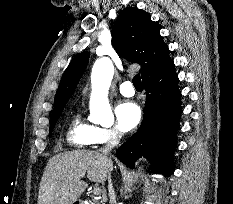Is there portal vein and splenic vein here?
<instances>
[{
    "mask_svg": "<svg viewBox=\"0 0 233 204\" xmlns=\"http://www.w3.org/2000/svg\"><path fill=\"white\" fill-rule=\"evenodd\" d=\"M101 192H102V190L100 187H95L93 190L94 195H101Z\"/></svg>",
    "mask_w": 233,
    "mask_h": 204,
    "instance_id": "18ae733b",
    "label": "portal vein and splenic vein"
}]
</instances>
